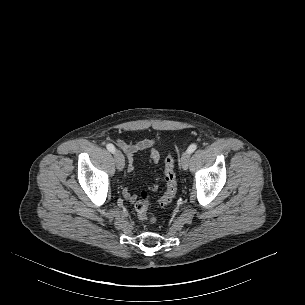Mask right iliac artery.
<instances>
[{"label":"right iliac artery","instance_id":"1","mask_svg":"<svg viewBox=\"0 0 305 305\" xmlns=\"http://www.w3.org/2000/svg\"><path fill=\"white\" fill-rule=\"evenodd\" d=\"M106 148H107L111 153H114V152H115V147H114V145L111 144V143H108V144L106 145Z\"/></svg>","mask_w":305,"mask_h":305}]
</instances>
